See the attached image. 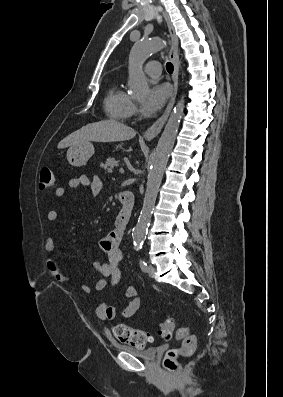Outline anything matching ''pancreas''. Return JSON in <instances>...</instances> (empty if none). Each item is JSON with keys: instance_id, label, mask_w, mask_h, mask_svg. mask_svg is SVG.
Returning <instances> with one entry per match:
<instances>
[{"instance_id": "pancreas-1", "label": "pancreas", "mask_w": 283, "mask_h": 397, "mask_svg": "<svg viewBox=\"0 0 283 397\" xmlns=\"http://www.w3.org/2000/svg\"><path fill=\"white\" fill-rule=\"evenodd\" d=\"M119 165V161L113 157H108L105 163H101V167L108 173L113 172V168Z\"/></svg>"}]
</instances>
